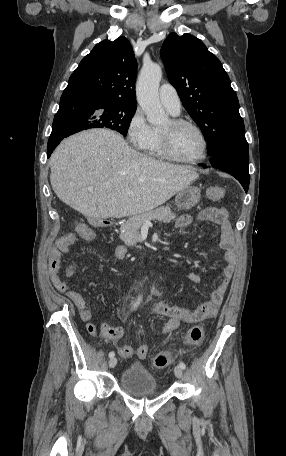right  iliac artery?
<instances>
[{"label": "right iliac artery", "mask_w": 286, "mask_h": 456, "mask_svg": "<svg viewBox=\"0 0 286 456\" xmlns=\"http://www.w3.org/2000/svg\"><path fill=\"white\" fill-rule=\"evenodd\" d=\"M141 299H142V297L139 296L138 299H137V300L135 301V303L133 304V307H132L133 309H135V308L140 304ZM114 356H115V353H114L113 351L109 352V357H110V358H112V357H114Z\"/></svg>", "instance_id": "82829eb1"}]
</instances>
